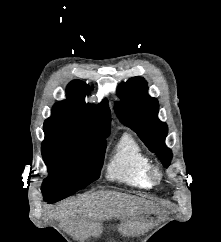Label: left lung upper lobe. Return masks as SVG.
Masks as SVG:
<instances>
[{"label": "left lung upper lobe", "mask_w": 221, "mask_h": 242, "mask_svg": "<svg viewBox=\"0 0 221 242\" xmlns=\"http://www.w3.org/2000/svg\"><path fill=\"white\" fill-rule=\"evenodd\" d=\"M147 82L142 77H133L119 85L114 110L120 121L133 129L161 160L164 167L170 165L172 152L165 145L167 125L158 119L159 105L147 94Z\"/></svg>", "instance_id": "1"}]
</instances>
